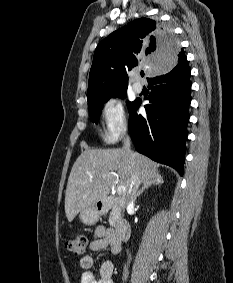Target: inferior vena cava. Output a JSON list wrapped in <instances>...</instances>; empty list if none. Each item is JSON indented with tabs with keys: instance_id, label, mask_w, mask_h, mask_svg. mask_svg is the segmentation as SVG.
<instances>
[{
	"instance_id": "inferior-vena-cava-1",
	"label": "inferior vena cava",
	"mask_w": 233,
	"mask_h": 283,
	"mask_svg": "<svg viewBox=\"0 0 233 283\" xmlns=\"http://www.w3.org/2000/svg\"><path fill=\"white\" fill-rule=\"evenodd\" d=\"M130 145H131L130 138L128 136H126L124 138V149L127 150V151H130ZM138 186H139L138 179L135 176H133L131 185H130L129 190H128V199H129L128 204L129 205L134 204V201H135L136 195H137Z\"/></svg>"
}]
</instances>
